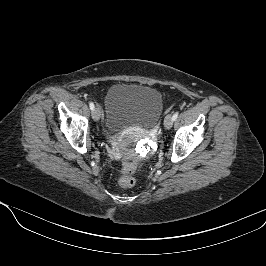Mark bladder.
<instances>
[{
  "mask_svg": "<svg viewBox=\"0 0 266 266\" xmlns=\"http://www.w3.org/2000/svg\"><path fill=\"white\" fill-rule=\"evenodd\" d=\"M106 127L116 134L128 127L152 128L162 113L160 92L147 86L117 83L105 96Z\"/></svg>",
  "mask_w": 266,
  "mask_h": 266,
  "instance_id": "1",
  "label": "bladder"
}]
</instances>
